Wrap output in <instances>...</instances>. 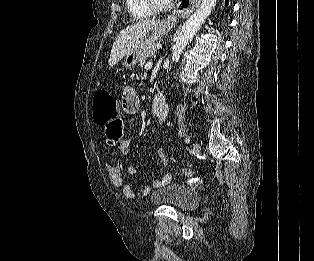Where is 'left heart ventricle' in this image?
<instances>
[{
	"label": "left heart ventricle",
	"instance_id": "obj_1",
	"mask_svg": "<svg viewBox=\"0 0 314 261\" xmlns=\"http://www.w3.org/2000/svg\"><path fill=\"white\" fill-rule=\"evenodd\" d=\"M157 1L162 4L169 2V0H157Z\"/></svg>",
	"mask_w": 314,
	"mask_h": 261
}]
</instances>
